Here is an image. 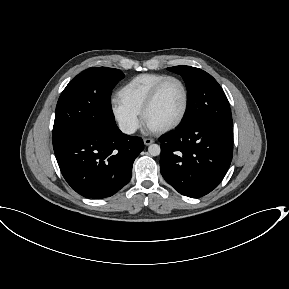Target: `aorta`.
<instances>
[{
	"instance_id": "obj_1",
	"label": "aorta",
	"mask_w": 289,
	"mask_h": 289,
	"mask_svg": "<svg viewBox=\"0 0 289 289\" xmlns=\"http://www.w3.org/2000/svg\"><path fill=\"white\" fill-rule=\"evenodd\" d=\"M148 152L151 156H158V155H160L161 148L158 144H151L148 147Z\"/></svg>"
}]
</instances>
